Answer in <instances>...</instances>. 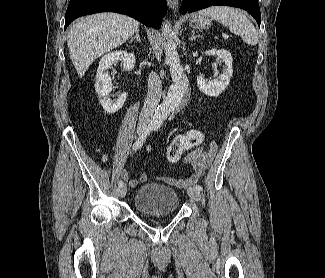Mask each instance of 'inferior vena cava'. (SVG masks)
Here are the masks:
<instances>
[{"label":"inferior vena cava","mask_w":325,"mask_h":278,"mask_svg":"<svg viewBox=\"0 0 325 278\" xmlns=\"http://www.w3.org/2000/svg\"><path fill=\"white\" fill-rule=\"evenodd\" d=\"M162 93V83L155 72H151L148 77V94L139 117V123H148L160 102Z\"/></svg>","instance_id":"1"}]
</instances>
